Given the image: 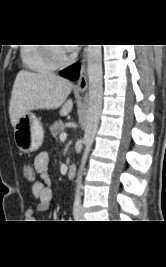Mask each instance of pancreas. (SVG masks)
Listing matches in <instances>:
<instances>
[{
    "mask_svg": "<svg viewBox=\"0 0 166 267\" xmlns=\"http://www.w3.org/2000/svg\"><path fill=\"white\" fill-rule=\"evenodd\" d=\"M65 129L64 123L62 121H57L53 125L50 126V132L54 138L57 137V135L60 132H63ZM69 161V160H68Z\"/></svg>",
    "mask_w": 166,
    "mask_h": 267,
    "instance_id": "1",
    "label": "pancreas"
}]
</instances>
